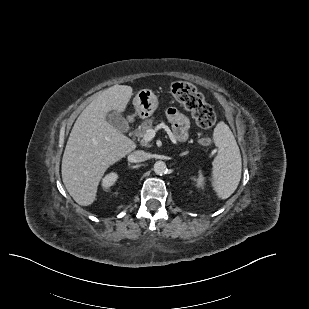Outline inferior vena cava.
Masks as SVG:
<instances>
[{
    "instance_id": "inferior-vena-cava-1",
    "label": "inferior vena cava",
    "mask_w": 309,
    "mask_h": 309,
    "mask_svg": "<svg viewBox=\"0 0 309 309\" xmlns=\"http://www.w3.org/2000/svg\"><path fill=\"white\" fill-rule=\"evenodd\" d=\"M132 162H143L149 159V154L143 150H136L130 155Z\"/></svg>"
}]
</instances>
